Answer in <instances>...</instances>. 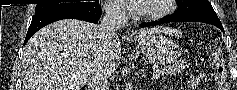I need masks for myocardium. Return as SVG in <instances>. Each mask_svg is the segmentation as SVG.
Masks as SVG:
<instances>
[{"label":"myocardium","mask_w":237,"mask_h":90,"mask_svg":"<svg viewBox=\"0 0 237 90\" xmlns=\"http://www.w3.org/2000/svg\"><path fill=\"white\" fill-rule=\"evenodd\" d=\"M156 3H161L156 11H150L138 5H130L129 10L132 16L140 20L155 22L171 12L172 6L169 3H176V0H156Z\"/></svg>","instance_id":"f54148a6"}]
</instances>
